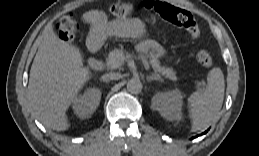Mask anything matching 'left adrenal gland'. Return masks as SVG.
<instances>
[{
	"label": "left adrenal gland",
	"mask_w": 259,
	"mask_h": 156,
	"mask_svg": "<svg viewBox=\"0 0 259 156\" xmlns=\"http://www.w3.org/2000/svg\"><path fill=\"white\" fill-rule=\"evenodd\" d=\"M147 81L148 82H151L153 80H156V81H163L162 78L158 75H149L146 77Z\"/></svg>",
	"instance_id": "obj_1"
}]
</instances>
